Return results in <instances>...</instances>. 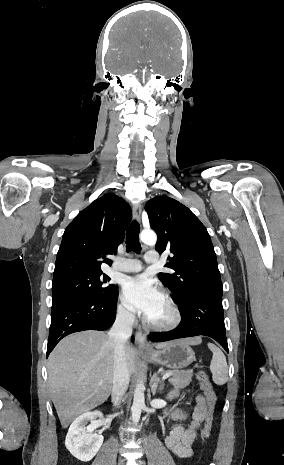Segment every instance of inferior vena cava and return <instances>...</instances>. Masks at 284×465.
I'll return each instance as SVG.
<instances>
[{"label":"inferior vena cava","instance_id":"inferior-vena-cava-1","mask_svg":"<svg viewBox=\"0 0 284 465\" xmlns=\"http://www.w3.org/2000/svg\"><path fill=\"white\" fill-rule=\"evenodd\" d=\"M135 315L123 313L117 315L116 321L109 331V337L114 339V377L112 387L113 407L120 405L124 393L129 387V371L127 369L124 345L132 335V327Z\"/></svg>","mask_w":284,"mask_h":465}]
</instances>
